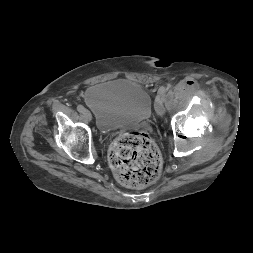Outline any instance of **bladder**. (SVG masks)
Segmentation results:
<instances>
[{
    "instance_id": "bladder-1",
    "label": "bladder",
    "mask_w": 253,
    "mask_h": 253,
    "mask_svg": "<svg viewBox=\"0 0 253 253\" xmlns=\"http://www.w3.org/2000/svg\"><path fill=\"white\" fill-rule=\"evenodd\" d=\"M85 101L95 114L98 128L106 132L136 125L152 111L149 92L130 80L97 84L89 88Z\"/></svg>"
}]
</instances>
